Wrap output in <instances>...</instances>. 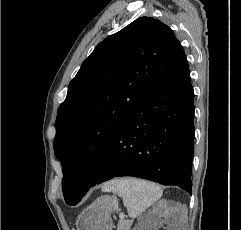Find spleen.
I'll list each match as a JSON object with an SVG mask.
<instances>
[{"label": "spleen", "mask_w": 241, "mask_h": 230, "mask_svg": "<svg viewBox=\"0 0 241 230\" xmlns=\"http://www.w3.org/2000/svg\"><path fill=\"white\" fill-rule=\"evenodd\" d=\"M103 192H113L122 197L131 218L139 216L162 196L159 185L135 178L115 179L102 186Z\"/></svg>", "instance_id": "obj_1"}]
</instances>
